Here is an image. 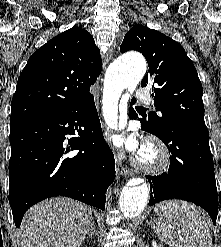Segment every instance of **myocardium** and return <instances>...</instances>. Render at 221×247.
Wrapping results in <instances>:
<instances>
[{"label": "myocardium", "instance_id": "obj_1", "mask_svg": "<svg viewBox=\"0 0 221 247\" xmlns=\"http://www.w3.org/2000/svg\"><path fill=\"white\" fill-rule=\"evenodd\" d=\"M134 164L148 174L164 173L172 164L170 148L160 139L150 138L136 156Z\"/></svg>", "mask_w": 221, "mask_h": 247}]
</instances>
